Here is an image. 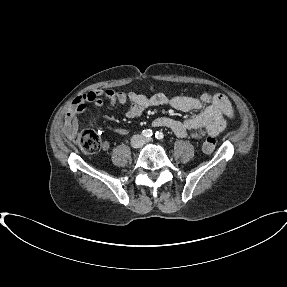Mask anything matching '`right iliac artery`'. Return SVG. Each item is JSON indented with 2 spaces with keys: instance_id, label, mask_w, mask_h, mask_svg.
Returning a JSON list of instances; mask_svg holds the SVG:
<instances>
[{
  "instance_id": "82829eb1",
  "label": "right iliac artery",
  "mask_w": 287,
  "mask_h": 287,
  "mask_svg": "<svg viewBox=\"0 0 287 287\" xmlns=\"http://www.w3.org/2000/svg\"><path fill=\"white\" fill-rule=\"evenodd\" d=\"M153 135V132L152 130L150 129H145L142 131V136L146 137V138H149Z\"/></svg>"
}]
</instances>
